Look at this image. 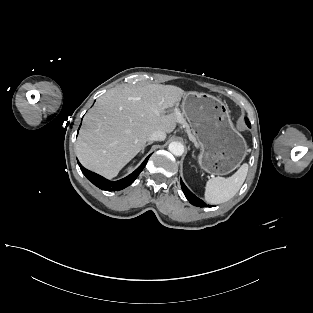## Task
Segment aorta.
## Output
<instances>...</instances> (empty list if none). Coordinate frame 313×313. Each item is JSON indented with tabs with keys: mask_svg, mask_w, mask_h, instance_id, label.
<instances>
[{
	"mask_svg": "<svg viewBox=\"0 0 313 313\" xmlns=\"http://www.w3.org/2000/svg\"><path fill=\"white\" fill-rule=\"evenodd\" d=\"M169 151L175 156H181L184 153V146L180 142H171L169 144Z\"/></svg>",
	"mask_w": 313,
	"mask_h": 313,
	"instance_id": "obj_1",
	"label": "aorta"
}]
</instances>
